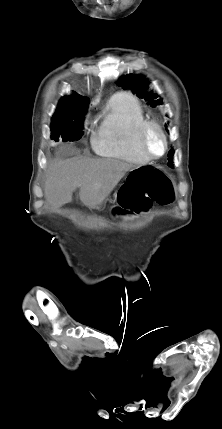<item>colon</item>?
I'll return each mask as SVG.
<instances>
[{"mask_svg": "<svg viewBox=\"0 0 222 429\" xmlns=\"http://www.w3.org/2000/svg\"><path fill=\"white\" fill-rule=\"evenodd\" d=\"M174 192L169 177L153 165H140L133 169L127 182L120 188L117 211L139 212L147 210L153 203L169 205Z\"/></svg>", "mask_w": 222, "mask_h": 429, "instance_id": "5ec220e1", "label": "colon"}]
</instances>
